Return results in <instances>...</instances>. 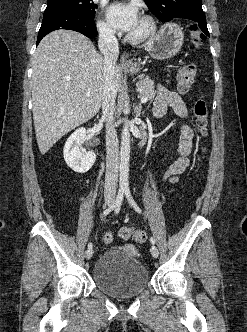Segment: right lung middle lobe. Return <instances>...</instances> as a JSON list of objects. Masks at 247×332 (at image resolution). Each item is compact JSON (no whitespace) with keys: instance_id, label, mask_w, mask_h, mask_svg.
<instances>
[{"instance_id":"right-lung-middle-lobe-1","label":"right lung middle lobe","mask_w":247,"mask_h":332,"mask_svg":"<svg viewBox=\"0 0 247 332\" xmlns=\"http://www.w3.org/2000/svg\"><path fill=\"white\" fill-rule=\"evenodd\" d=\"M97 5L92 0H47L45 12L72 11L94 17Z\"/></svg>"}]
</instances>
